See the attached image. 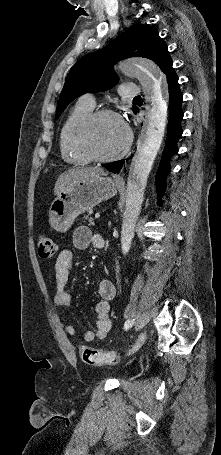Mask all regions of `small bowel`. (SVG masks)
<instances>
[{
  "label": "small bowel",
  "mask_w": 221,
  "mask_h": 455,
  "mask_svg": "<svg viewBox=\"0 0 221 455\" xmlns=\"http://www.w3.org/2000/svg\"><path fill=\"white\" fill-rule=\"evenodd\" d=\"M103 237L99 234H93L86 227H79L73 234V245L76 249H85L88 245L96 247V243ZM74 262V251L70 247L62 248L55 262L54 286L55 293L53 303L55 307L69 306L72 302L71 294L66 290L70 279V274ZM99 300L95 304L96 313V331L88 330L84 333V341L92 342L94 340H103L107 338L112 330L113 325L110 319V301L115 296V286L110 280H100L97 285ZM65 331L70 336L76 335V329L72 324H65Z\"/></svg>",
  "instance_id": "obj_1"
}]
</instances>
